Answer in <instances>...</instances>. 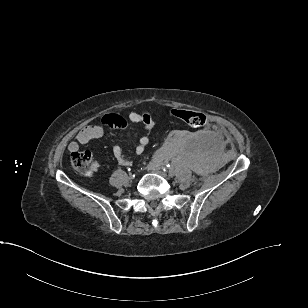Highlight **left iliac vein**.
<instances>
[{"instance_id": "obj_1", "label": "left iliac vein", "mask_w": 308, "mask_h": 308, "mask_svg": "<svg viewBox=\"0 0 308 308\" xmlns=\"http://www.w3.org/2000/svg\"><path fill=\"white\" fill-rule=\"evenodd\" d=\"M147 168L149 171H152L153 173H156L164 178L168 177L167 173L164 172L157 163H150Z\"/></svg>"}]
</instances>
